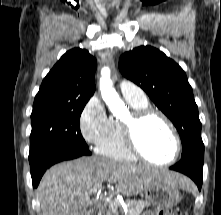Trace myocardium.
<instances>
[{"label":"myocardium","mask_w":221,"mask_h":215,"mask_svg":"<svg viewBox=\"0 0 221 215\" xmlns=\"http://www.w3.org/2000/svg\"><path fill=\"white\" fill-rule=\"evenodd\" d=\"M150 117H157L163 121V123L167 126L172 137L174 139V153L173 156L166 162H156L150 159L145 153L142 151L138 144L137 133L140 126ZM122 129L125 144L128 150L136 157L139 158L151 165L159 166V167H167L172 165L177 161L181 153V139L180 136L171 122V120L159 110H156L151 107L134 109L130 112V114L122 121Z\"/></svg>","instance_id":"1"}]
</instances>
